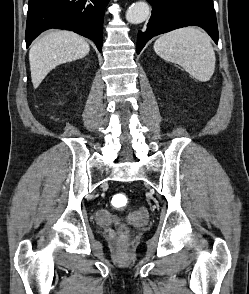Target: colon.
<instances>
[{"label": "colon", "instance_id": "5ec220e1", "mask_svg": "<svg viewBox=\"0 0 249 294\" xmlns=\"http://www.w3.org/2000/svg\"><path fill=\"white\" fill-rule=\"evenodd\" d=\"M113 203L116 206H126L129 203V198L125 194H116L113 197ZM119 237L125 240L128 237L129 228L126 225H121L118 230Z\"/></svg>", "mask_w": 249, "mask_h": 294}]
</instances>
